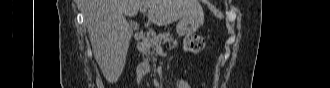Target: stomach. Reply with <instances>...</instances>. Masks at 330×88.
Listing matches in <instances>:
<instances>
[{
    "mask_svg": "<svg viewBox=\"0 0 330 88\" xmlns=\"http://www.w3.org/2000/svg\"><path fill=\"white\" fill-rule=\"evenodd\" d=\"M204 21V16H189L180 19L176 26V31L179 36L193 34L197 31Z\"/></svg>",
    "mask_w": 330,
    "mask_h": 88,
    "instance_id": "stomach-1",
    "label": "stomach"
}]
</instances>
